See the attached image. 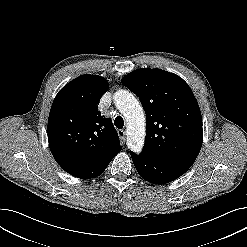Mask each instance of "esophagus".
Listing matches in <instances>:
<instances>
[{
	"label": "esophagus",
	"instance_id": "34e87169",
	"mask_svg": "<svg viewBox=\"0 0 247 247\" xmlns=\"http://www.w3.org/2000/svg\"><path fill=\"white\" fill-rule=\"evenodd\" d=\"M118 135H119V138L121 140L122 143L125 142L126 140V137H125V130L121 129V130H118Z\"/></svg>",
	"mask_w": 247,
	"mask_h": 247
}]
</instances>
